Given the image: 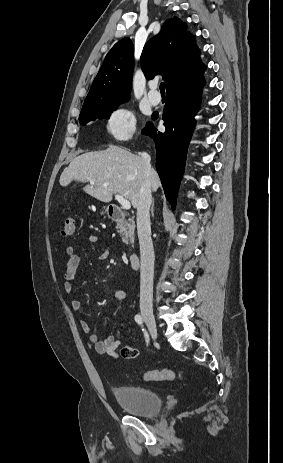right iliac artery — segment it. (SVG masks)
Instances as JSON below:
<instances>
[{"instance_id":"obj_1","label":"right iliac artery","mask_w":283,"mask_h":463,"mask_svg":"<svg viewBox=\"0 0 283 463\" xmlns=\"http://www.w3.org/2000/svg\"><path fill=\"white\" fill-rule=\"evenodd\" d=\"M135 321H136L141 327H143V320H142V317H141L139 314L135 315ZM142 330L144 331V336H145L146 342H147V344H148V342H149L148 333L146 332V330H145L144 328H143Z\"/></svg>"}]
</instances>
